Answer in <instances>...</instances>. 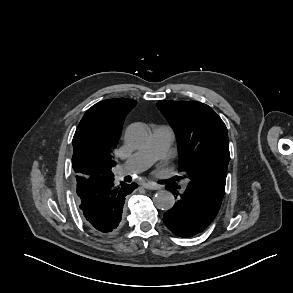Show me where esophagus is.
Listing matches in <instances>:
<instances>
[{"label": "esophagus", "instance_id": "1", "mask_svg": "<svg viewBox=\"0 0 293 293\" xmlns=\"http://www.w3.org/2000/svg\"><path fill=\"white\" fill-rule=\"evenodd\" d=\"M142 187H144L145 189H148V190H157L160 188L159 185L151 183V182L144 183L142 185Z\"/></svg>", "mask_w": 293, "mask_h": 293}]
</instances>
